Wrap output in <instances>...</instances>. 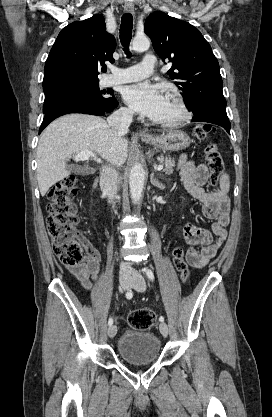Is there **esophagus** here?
<instances>
[{"instance_id":"34e87169","label":"esophagus","mask_w":272,"mask_h":417,"mask_svg":"<svg viewBox=\"0 0 272 417\" xmlns=\"http://www.w3.org/2000/svg\"><path fill=\"white\" fill-rule=\"evenodd\" d=\"M124 10H125V12H127V13H134V6H133V4H131V3H126L125 5H124ZM138 134L140 135V136H148V133H146L145 131H143V130H139L138 131Z\"/></svg>"}]
</instances>
